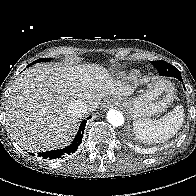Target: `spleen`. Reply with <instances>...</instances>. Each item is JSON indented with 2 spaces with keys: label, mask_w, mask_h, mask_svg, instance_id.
I'll use <instances>...</instances> for the list:
<instances>
[{
  "label": "spleen",
  "mask_w": 196,
  "mask_h": 196,
  "mask_svg": "<svg viewBox=\"0 0 196 196\" xmlns=\"http://www.w3.org/2000/svg\"><path fill=\"white\" fill-rule=\"evenodd\" d=\"M184 108L177 105L173 111L158 120L137 119L133 121V129L142 141L159 143L173 137L184 122Z\"/></svg>",
  "instance_id": "3e777b00"
}]
</instances>
